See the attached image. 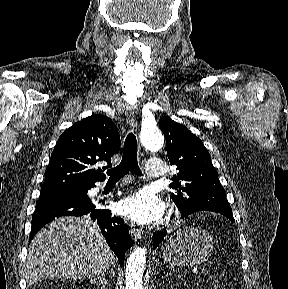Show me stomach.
<instances>
[{
  "instance_id": "1",
  "label": "stomach",
  "mask_w": 288,
  "mask_h": 289,
  "mask_svg": "<svg viewBox=\"0 0 288 289\" xmlns=\"http://www.w3.org/2000/svg\"><path fill=\"white\" fill-rule=\"evenodd\" d=\"M214 249L212 236L199 227H184L166 242L163 259L172 266H196L205 262Z\"/></svg>"
}]
</instances>
